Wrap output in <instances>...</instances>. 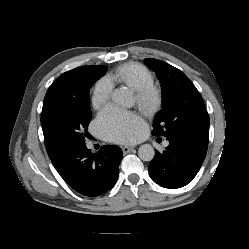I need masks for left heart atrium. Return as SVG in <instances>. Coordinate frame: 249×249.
<instances>
[{
  "label": "left heart atrium",
  "mask_w": 249,
  "mask_h": 249,
  "mask_svg": "<svg viewBox=\"0 0 249 249\" xmlns=\"http://www.w3.org/2000/svg\"><path fill=\"white\" fill-rule=\"evenodd\" d=\"M97 127L106 140L118 143L137 141L145 129L138 115L113 105L100 112Z\"/></svg>",
  "instance_id": "39dd6f15"
}]
</instances>
